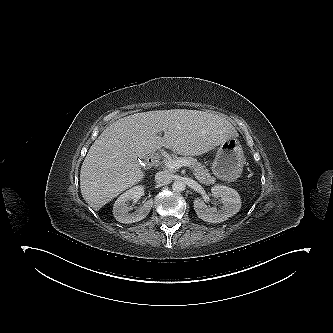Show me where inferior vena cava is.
Here are the masks:
<instances>
[{"label":"inferior vena cava","mask_w":333,"mask_h":333,"mask_svg":"<svg viewBox=\"0 0 333 333\" xmlns=\"http://www.w3.org/2000/svg\"><path fill=\"white\" fill-rule=\"evenodd\" d=\"M172 179V175L166 171L157 172L155 175V182L158 184H165L170 182Z\"/></svg>","instance_id":"1"}]
</instances>
